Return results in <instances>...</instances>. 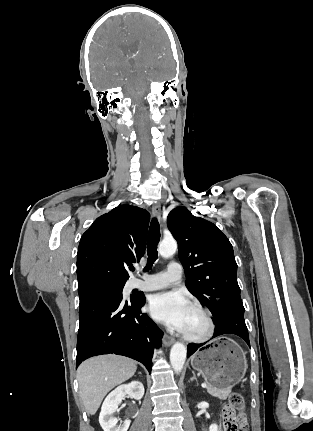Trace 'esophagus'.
<instances>
[{
    "label": "esophagus",
    "instance_id": "34e87169",
    "mask_svg": "<svg viewBox=\"0 0 313 431\" xmlns=\"http://www.w3.org/2000/svg\"><path fill=\"white\" fill-rule=\"evenodd\" d=\"M152 214L156 217H159L161 214V206L159 203H155L152 206ZM174 338H172L171 336L164 334L163 337V343L165 344V346H170L174 343Z\"/></svg>",
    "mask_w": 313,
    "mask_h": 431
}]
</instances>
